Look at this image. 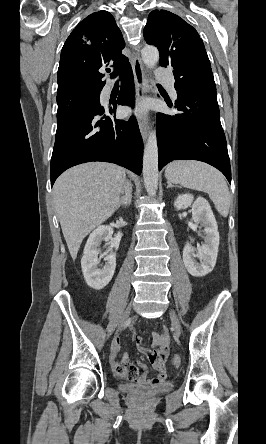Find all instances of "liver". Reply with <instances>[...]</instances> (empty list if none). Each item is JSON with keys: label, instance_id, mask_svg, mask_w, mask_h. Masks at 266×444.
Instances as JSON below:
<instances>
[{"label": "liver", "instance_id": "obj_1", "mask_svg": "<svg viewBox=\"0 0 266 444\" xmlns=\"http://www.w3.org/2000/svg\"><path fill=\"white\" fill-rule=\"evenodd\" d=\"M125 181V169L105 162L72 167L56 180L54 204L73 260L83 239L117 209Z\"/></svg>", "mask_w": 266, "mask_h": 444}]
</instances>
